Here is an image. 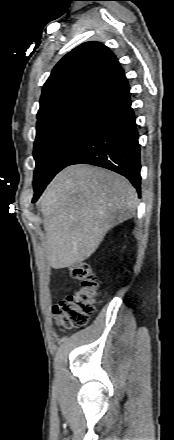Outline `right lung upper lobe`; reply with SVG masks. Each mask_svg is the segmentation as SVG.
<instances>
[{"label":"right lung upper lobe","instance_id":"1","mask_svg":"<svg viewBox=\"0 0 174 440\" xmlns=\"http://www.w3.org/2000/svg\"><path fill=\"white\" fill-rule=\"evenodd\" d=\"M125 77L116 56L100 42H86L65 55L43 86L38 120L87 95H98Z\"/></svg>","mask_w":174,"mask_h":440}]
</instances>
